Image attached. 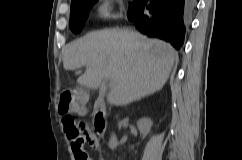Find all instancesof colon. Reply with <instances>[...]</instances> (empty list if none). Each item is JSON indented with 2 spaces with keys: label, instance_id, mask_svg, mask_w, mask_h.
Wrapping results in <instances>:
<instances>
[{
  "label": "colon",
  "instance_id": "5ec220e1",
  "mask_svg": "<svg viewBox=\"0 0 242 160\" xmlns=\"http://www.w3.org/2000/svg\"><path fill=\"white\" fill-rule=\"evenodd\" d=\"M85 96L81 93H76L73 90L65 89L60 93L59 97V112L62 114V124L64 131L73 141V146L78 150L79 160H90L86 152L81 151V145L86 142L87 134L80 123L72 116V113L83 108Z\"/></svg>",
  "mask_w": 242,
  "mask_h": 160
}]
</instances>
